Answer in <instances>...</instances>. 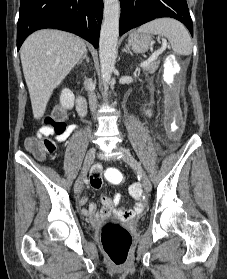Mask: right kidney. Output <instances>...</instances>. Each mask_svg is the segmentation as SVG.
Listing matches in <instances>:
<instances>
[{
    "mask_svg": "<svg viewBox=\"0 0 227 279\" xmlns=\"http://www.w3.org/2000/svg\"><path fill=\"white\" fill-rule=\"evenodd\" d=\"M74 94L69 89H63L60 95V103L64 108L72 109L74 106Z\"/></svg>",
    "mask_w": 227,
    "mask_h": 279,
    "instance_id": "ca27d5eb",
    "label": "right kidney"
}]
</instances>
